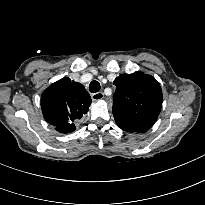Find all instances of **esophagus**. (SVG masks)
I'll return each instance as SVG.
<instances>
[{
    "instance_id": "34e87169",
    "label": "esophagus",
    "mask_w": 205,
    "mask_h": 205,
    "mask_svg": "<svg viewBox=\"0 0 205 205\" xmlns=\"http://www.w3.org/2000/svg\"><path fill=\"white\" fill-rule=\"evenodd\" d=\"M91 98L93 101H99V100H102L104 98V94L102 92L93 93L91 95Z\"/></svg>"
}]
</instances>
